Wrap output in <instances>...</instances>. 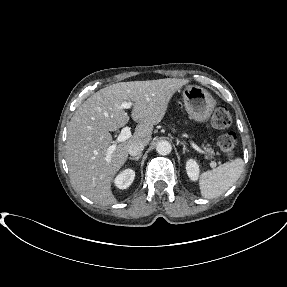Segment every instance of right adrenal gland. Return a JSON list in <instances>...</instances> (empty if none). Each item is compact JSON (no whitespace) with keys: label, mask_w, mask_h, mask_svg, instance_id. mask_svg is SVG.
Wrapping results in <instances>:
<instances>
[{"label":"right adrenal gland","mask_w":287,"mask_h":287,"mask_svg":"<svg viewBox=\"0 0 287 287\" xmlns=\"http://www.w3.org/2000/svg\"><path fill=\"white\" fill-rule=\"evenodd\" d=\"M142 155H139L137 157H130L129 160H135L138 161L141 158Z\"/></svg>","instance_id":"1"}]
</instances>
